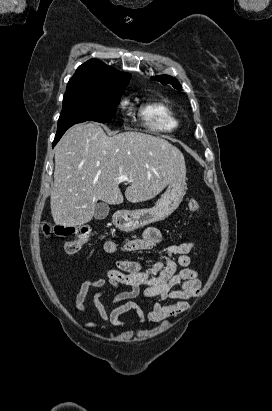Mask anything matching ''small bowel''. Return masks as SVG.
Returning a JSON list of instances; mask_svg holds the SVG:
<instances>
[{"instance_id":"1","label":"small bowel","mask_w":272,"mask_h":411,"mask_svg":"<svg viewBox=\"0 0 272 411\" xmlns=\"http://www.w3.org/2000/svg\"><path fill=\"white\" fill-rule=\"evenodd\" d=\"M161 240L160 230L148 227L139 237L123 242L106 241L104 250L109 254L147 251L157 248ZM194 248V242L169 245L160 252L157 262L149 267L140 261L118 259L116 268L109 269L105 277L81 283L74 304L79 311L85 313V300L89 291L98 289L92 297V303L100 319L114 327L126 326L122 316L131 311L135 312L140 323H161L175 317L189 310L191 304L188 300L200 294L198 272L190 267V253ZM106 285L109 287L104 288ZM121 285L130 289L119 292ZM109 295H112V303L117 304L111 311H107L102 303V298ZM139 296L155 298L148 313L134 300ZM166 301L170 302L164 304ZM85 327L96 328L97 324L87 322Z\"/></svg>"}]
</instances>
